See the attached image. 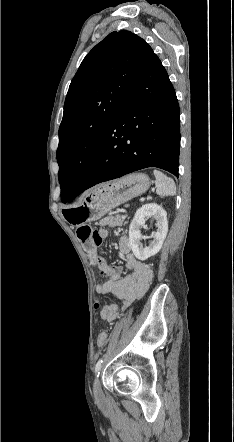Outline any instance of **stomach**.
I'll list each match as a JSON object with an SVG mask.
<instances>
[{"instance_id":"obj_1","label":"stomach","mask_w":234,"mask_h":442,"mask_svg":"<svg viewBox=\"0 0 234 442\" xmlns=\"http://www.w3.org/2000/svg\"><path fill=\"white\" fill-rule=\"evenodd\" d=\"M150 179L144 173H132L111 183L97 186L83 200L63 210L64 219L72 226L96 221L109 210L145 193Z\"/></svg>"}]
</instances>
